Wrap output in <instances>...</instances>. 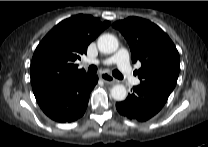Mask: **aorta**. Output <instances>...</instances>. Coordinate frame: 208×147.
<instances>
[{"instance_id":"762f6f07","label":"aorta","mask_w":208,"mask_h":147,"mask_svg":"<svg viewBox=\"0 0 208 147\" xmlns=\"http://www.w3.org/2000/svg\"><path fill=\"white\" fill-rule=\"evenodd\" d=\"M97 46L100 52L111 54L117 51L119 43L112 34H103L97 40ZM111 96L116 101H123L127 97V91L124 85L117 84L111 89Z\"/></svg>"}]
</instances>
